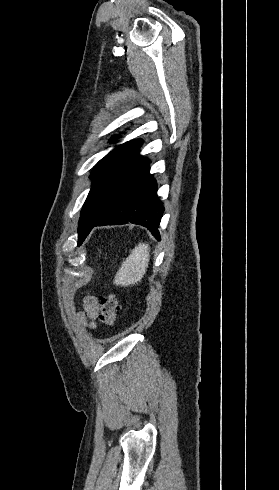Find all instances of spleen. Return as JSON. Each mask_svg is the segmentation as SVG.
Listing matches in <instances>:
<instances>
[{"label": "spleen", "mask_w": 279, "mask_h": 490, "mask_svg": "<svg viewBox=\"0 0 279 490\" xmlns=\"http://www.w3.org/2000/svg\"><path fill=\"white\" fill-rule=\"evenodd\" d=\"M150 260V248L148 244H138L131 250L125 262H122L113 284L115 286H134L144 278L148 262Z\"/></svg>", "instance_id": "3e777b00"}]
</instances>
